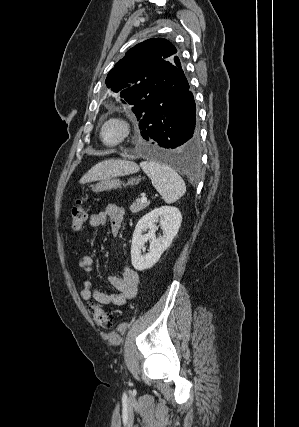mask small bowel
Masks as SVG:
<instances>
[{
  "label": "small bowel",
  "instance_id": "small-bowel-1",
  "mask_svg": "<svg viewBox=\"0 0 299 427\" xmlns=\"http://www.w3.org/2000/svg\"><path fill=\"white\" fill-rule=\"evenodd\" d=\"M124 220V210L116 205L109 204L105 210L91 214L89 224L93 228L105 227L110 225L113 235H117L121 229ZM93 260L88 255L79 258L78 269L85 274L80 297L85 302L94 300L97 303L109 306H121L128 300L134 298L139 284V274L130 267H125L123 276L110 275L108 280L116 290L115 292H106L93 287L91 272Z\"/></svg>",
  "mask_w": 299,
  "mask_h": 427
}]
</instances>
